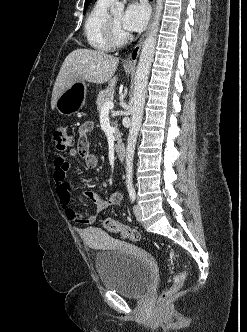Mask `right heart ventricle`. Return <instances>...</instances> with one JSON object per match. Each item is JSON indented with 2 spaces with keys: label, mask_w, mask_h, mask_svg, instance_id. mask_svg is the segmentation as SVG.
Masks as SVG:
<instances>
[{
  "label": "right heart ventricle",
  "mask_w": 247,
  "mask_h": 332,
  "mask_svg": "<svg viewBox=\"0 0 247 332\" xmlns=\"http://www.w3.org/2000/svg\"><path fill=\"white\" fill-rule=\"evenodd\" d=\"M110 3L111 1L109 0H97L84 23V34L88 45L100 52H107L112 48L105 39L103 32Z\"/></svg>",
  "instance_id": "1"
}]
</instances>
